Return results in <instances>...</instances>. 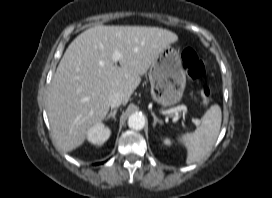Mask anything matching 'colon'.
<instances>
[{
	"instance_id": "5ec220e1",
	"label": "colon",
	"mask_w": 272,
	"mask_h": 198,
	"mask_svg": "<svg viewBox=\"0 0 272 198\" xmlns=\"http://www.w3.org/2000/svg\"><path fill=\"white\" fill-rule=\"evenodd\" d=\"M182 61L191 78L199 80L205 76V65L193 49L187 48L182 52ZM212 95V89L209 86H203L199 91V96L203 103H209L212 100Z\"/></svg>"
}]
</instances>
